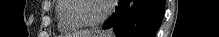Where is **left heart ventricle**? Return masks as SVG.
<instances>
[{
	"instance_id": "b2bd125f",
	"label": "left heart ventricle",
	"mask_w": 219,
	"mask_h": 37,
	"mask_svg": "<svg viewBox=\"0 0 219 37\" xmlns=\"http://www.w3.org/2000/svg\"><path fill=\"white\" fill-rule=\"evenodd\" d=\"M103 2L105 1L93 0L84 2L82 7L83 16L89 20H95L99 18L105 8Z\"/></svg>"
}]
</instances>
